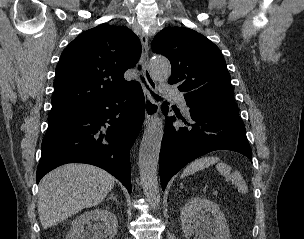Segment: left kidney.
Masks as SVG:
<instances>
[{
    "label": "left kidney",
    "instance_id": "1",
    "mask_svg": "<svg viewBox=\"0 0 304 239\" xmlns=\"http://www.w3.org/2000/svg\"><path fill=\"white\" fill-rule=\"evenodd\" d=\"M180 219L186 236L197 233L198 239H230V231L220 207L206 198L189 199L181 209Z\"/></svg>",
    "mask_w": 304,
    "mask_h": 239
}]
</instances>
